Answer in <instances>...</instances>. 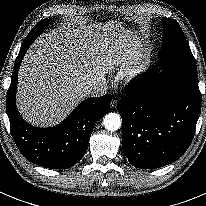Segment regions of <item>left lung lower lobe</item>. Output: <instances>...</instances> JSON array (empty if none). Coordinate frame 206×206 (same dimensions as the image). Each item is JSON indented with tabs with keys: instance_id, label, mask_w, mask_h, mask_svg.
Wrapping results in <instances>:
<instances>
[{
	"instance_id": "1",
	"label": "left lung lower lobe",
	"mask_w": 206,
	"mask_h": 206,
	"mask_svg": "<svg viewBox=\"0 0 206 206\" xmlns=\"http://www.w3.org/2000/svg\"><path fill=\"white\" fill-rule=\"evenodd\" d=\"M162 69L131 82L118 103L123 152L142 169L162 167L181 157L192 142L200 116L197 72Z\"/></svg>"
}]
</instances>
